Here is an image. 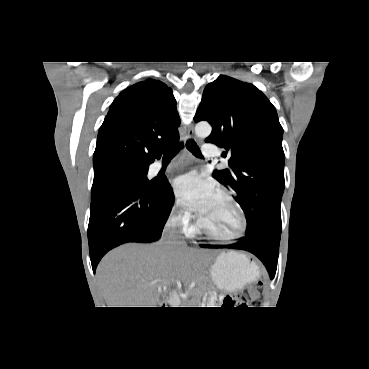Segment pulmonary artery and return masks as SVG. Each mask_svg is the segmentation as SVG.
<instances>
[{
  "instance_id": "1",
  "label": "pulmonary artery",
  "mask_w": 369,
  "mask_h": 369,
  "mask_svg": "<svg viewBox=\"0 0 369 369\" xmlns=\"http://www.w3.org/2000/svg\"><path fill=\"white\" fill-rule=\"evenodd\" d=\"M202 154L206 158L214 157L217 154V147L213 144H205L202 147ZM158 167L161 168L162 166L159 165Z\"/></svg>"
}]
</instances>
